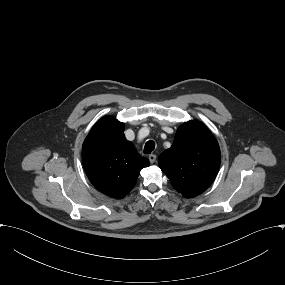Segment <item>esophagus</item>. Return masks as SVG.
I'll list each match as a JSON object with an SVG mask.
<instances>
[{"mask_svg": "<svg viewBox=\"0 0 285 285\" xmlns=\"http://www.w3.org/2000/svg\"><path fill=\"white\" fill-rule=\"evenodd\" d=\"M148 158H149L150 163H154L155 160H156V155L155 154H151V155H149Z\"/></svg>", "mask_w": 285, "mask_h": 285, "instance_id": "obj_1", "label": "esophagus"}]
</instances>
